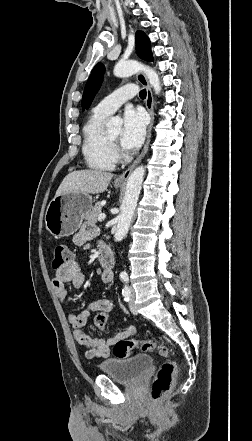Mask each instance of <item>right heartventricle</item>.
Here are the masks:
<instances>
[{
	"label": "right heart ventricle",
	"mask_w": 252,
	"mask_h": 441,
	"mask_svg": "<svg viewBox=\"0 0 252 441\" xmlns=\"http://www.w3.org/2000/svg\"><path fill=\"white\" fill-rule=\"evenodd\" d=\"M107 115L94 110L83 125L82 154L86 165L97 171H112L116 166V156L107 142L103 128Z\"/></svg>",
	"instance_id": "right-heart-ventricle-1"
}]
</instances>
